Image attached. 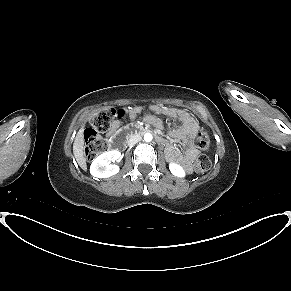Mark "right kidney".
I'll return each mask as SVG.
<instances>
[{
	"instance_id": "right-kidney-1",
	"label": "right kidney",
	"mask_w": 291,
	"mask_h": 291,
	"mask_svg": "<svg viewBox=\"0 0 291 291\" xmlns=\"http://www.w3.org/2000/svg\"><path fill=\"white\" fill-rule=\"evenodd\" d=\"M121 160V152L112 150L104 152L95 158L90 166V173L93 177L107 178L119 172V166L110 164L111 162H119Z\"/></svg>"
}]
</instances>
